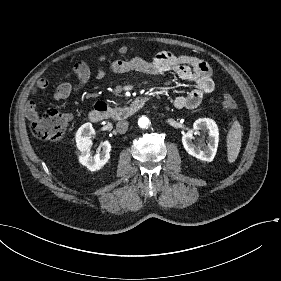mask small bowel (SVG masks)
Masks as SVG:
<instances>
[{"label": "small bowel", "instance_id": "small-bowel-1", "mask_svg": "<svg viewBox=\"0 0 281 281\" xmlns=\"http://www.w3.org/2000/svg\"><path fill=\"white\" fill-rule=\"evenodd\" d=\"M112 73H123L128 71H138L146 74H158L162 72H173L180 79L187 80L194 84V88L185 95L177 96L174 106L177 109H194L202 99L214 90L213 71L203 60L185 54H176L169 51L157 53L151 60L134 57L129 60H118L110 64L108 68ZM77 75L76 84L62 83L57 86L54 97L63 100L72 94L80 91L89 81L90 70L83 62H78L74 66ZM106 75L104 69L97 71V78L101 79ZM46 80H39L37 85L27 93L29 102L26 105V115L28 119L35 120L38 117L36 104L49 93Z\"/></svg>", "mask_w": 281, "mask_h": 281}]
</instances>
